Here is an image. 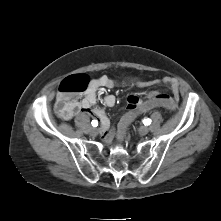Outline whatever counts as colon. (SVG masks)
Instances as JSON below:
<instances>
[{
	"label": "colon",
	"mask_w": 221,
	"mask_h": 221,
	"mask_svg": "<svg viewBox=\"0 0 221 221\" xmlns=\"http://www.w3.org/2000/svg\"><path fill=\"white\" fill-rule=\"evenodd\" d=\"M114 77L117 81L126 83L128 86L138 88L142 91L148 90L151 86L148 79L123 69L117 70ZM89 85L90 79L85 74L73 75L62 81L59 86V94L56 102V113L59 117L69 119L72 101L77 94L87 90ZM160 107L164 110L176 112L179 110L180 105L165 94H155L152 100L144 101L130 108L117 121L115 133L119 136V141H126L128 125L133 123L136 118L151 110H157Z\"/></svg>",
	"instance_id": "colon-1"
}]
</instances>
